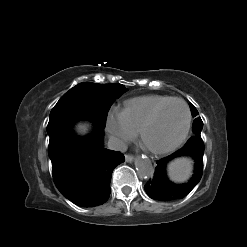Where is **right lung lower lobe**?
<instances>
[{"mask_svg":"<svg viewBox=\"0 0 247 247\" xmlns=\"http://www.w3.org/2000/svg\"><path fill=\"white\" fill-rule=\"evenodd\" d=\"M82 118L88 117L68 113L49 119L48 155L54 183L61 194L80 207H94L109 198L112 172L125 157L103 147L104 127L96 122L92 135L76 136L72 126Z\"/></svg>","mask_w":247,"mask_h":247,"instance_id":"98d812e1","label":"right lung lower lobe"}]
</instances>
